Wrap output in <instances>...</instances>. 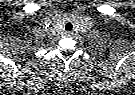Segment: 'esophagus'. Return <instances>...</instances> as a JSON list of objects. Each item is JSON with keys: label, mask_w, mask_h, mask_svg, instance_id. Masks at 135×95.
<instances>
[{"label": "esophagus", "mask_w": 135, "mask_h": 95, "mask_svg": "<svg viewBox=\"0 0 135 95\" xmlns=\"http://www.w3.org/2000/svg\"><path fill=\"white\" fill-rule=\"evenodd\" d=\"M65 35H66L67 37H70V36L73 35V33H72V32H66Z\"/></svg>", "instance_id": "34e87169"}]
</instances>
